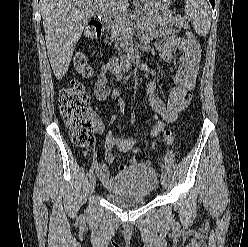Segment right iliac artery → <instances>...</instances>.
<instances>
[{
  "instance_id": "right-iliac-artery-1",
  "label": "right iliac artery",
  "mask_w": 248,
  "mask_h": 247,
  "mask_svg": "<svg viewBox=\"0 0 248 247\" xmlns=\"http://www.w3.org/2000/svg\"><path fill=\"white\" fill-rule=\"evenodd\" d=\"M94 168H95V164H93V165L91 166V168L89 169V171H88V173H87L88 178H90L91 175L93 174Z\"/></svg>"
}]
</instances>
